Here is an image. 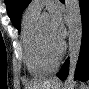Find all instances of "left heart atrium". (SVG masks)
Here are the masks:
<instances>
[{"mask_svg":"<svg viewBox=\"0 0 89 89\" xmlns=\"http://www.w3.org/2000/svg\"><path fill=\"white\" fill-rule=\"evenodd\" d=\"M50 26L53 39L62 44L66 35V29L63 17L58 10L52 11Z\"/></svg>","mask_w":89,"mask_h":89,"instance_id":"obj_1","label":"left heart atrium"}]
</instances>
